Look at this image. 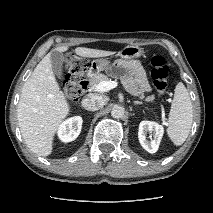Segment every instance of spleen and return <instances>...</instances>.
<instances>
[{
  "mask_svg": "<svg viewBox=\"0 0 213 213\" xmlns=\"http://www.w3.org/2000/svg\"><path fill=\"white\" fill-rule=\"evenodd\" d=\"M193 109L189 93L182 82L175 87V94L168 117L167 134L176 145H182L191 130Z\"/></svg>",
  "mask_w": 213,
  "mask_h": 213,
  "instance_id": "3e777b00",
  "label": "spleen"
}]
</instances>
